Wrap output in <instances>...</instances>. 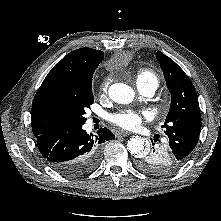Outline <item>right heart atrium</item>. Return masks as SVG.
<instances>
[{
	"mask_svg": "<svg viewBox=\"0 0 221 221\" xmlns=\"http://www.w3.org/2000/svg\"><path fill=\"white\" fill-rule=\"evenodd\" d=\"M107 87H108V80H104L100 86V91L101 92L106 91Z\"/></svg>",
	"mask_w": 221,
	"mask_h": 221,
	"instance_id": "right-heart-atrium-1",
	"label": "right heart atrium"
}]
</instances>
